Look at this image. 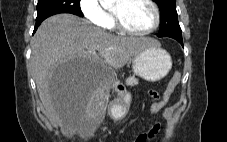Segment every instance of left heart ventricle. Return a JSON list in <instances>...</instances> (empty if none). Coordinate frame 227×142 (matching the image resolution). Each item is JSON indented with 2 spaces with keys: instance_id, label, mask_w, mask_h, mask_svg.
I'll list each match as a JSON object with an SVG mask.
<instances>
[{
  "instance_id": "left-heart-ventricle-1",
  "label": "left heart ventricle",
  "mask_w": 227,
  "mask_h": 142,
  "mask_svg": "<svg viewBox=\"0 0 227 142\" xmlns=\"http://www.w3.org/2000/svg\"><path fill=\"white\" fill-rule=\"evenodd\" d=\"M130 29L143 31L154 22V12L146 0H117L112 8Z\"/></svg>"
}]
</instances>
